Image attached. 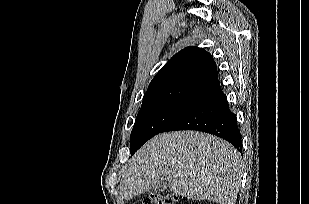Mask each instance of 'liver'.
Here are the masks:
<instances>
[{"label": "liver", "mask_w": 309, "mask_h": 204, "mask_svg": "<svg viewBox=\"0 0 309 204\" xmlns=\"http://www.w3.org/2000/svg\"><path fill=\"white\" fill-rule=\"evenodd\" d=\"M242 158L225 140L197 131L155 136L128 162L120 182L124 198L149 190L164 177L171 191L193 200L235 204L242 179Z\"/></svg>", "instance_id": "obj_1"}]
</instances>
